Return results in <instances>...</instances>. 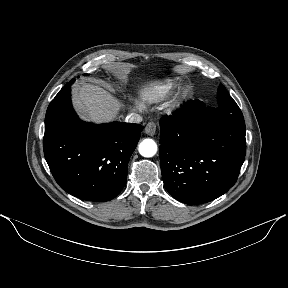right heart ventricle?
Returning a JSON list of instances; mask_svg holds the SVG:
<instances>
[{
    "instance_id": "obj_1",
    "label": "right heart ventricle",
    "mask_w": 288,
    "mask_h": 288,
    "mask_svg": "<svg viewBox=\"0 0 288 288\" xmlns=\"http://www.w3.org/2000/svg\"><path fill=\"white\" fill-rule=\"evenodd\" d=\"M174 84L170 81L151 85L144 90L142 98L147 102H154L164 99L173 89Z\"/></svg>"
}]
</instances>
